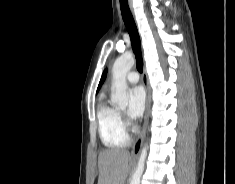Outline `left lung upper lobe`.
Returning a JSON list of instances; mask_svg holds the SVG:
<instances>
[{
	"instance_id": "left-lung-upper-lobe-1",
	"label": "left lung upper lobe",
	"mask_w": 235,
	"mask_h": 184,
	"mask_svg": "<svg viewBox=\"0 0 235 184\" xmlns=\"http://www.w3.org/2000/svg\"><path fill=\"white\" fill-rule=\"evenodd\" d=\"M106 75H107V70L105 69L104 72H103V74H102L101 80H100V82H99V86H98L97 92H98V90L100 89V87H101V85L103 84V82L105 81Z\"/></svg>"
}]
</instances>
